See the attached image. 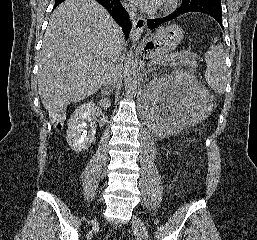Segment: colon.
Returning <instances> with one entry per match:
<instances>
[{"instance_id":"colon-1","label":"colon","mask_w":257,"mask_h":240,"mask_svg":"<svg viewBox=\"0 0 257 240\" xmlns=\"http://www.w3.org/2000/svg\"><path fill=\"white\" fill-rule=\"evenodd\" d=\"M55 123H56L57 128H60V127H61V121H60L59 118H56V119H55Z\"/></svg>"}]
</instances>
